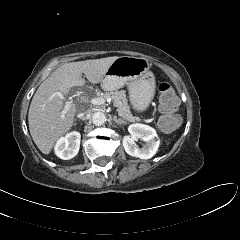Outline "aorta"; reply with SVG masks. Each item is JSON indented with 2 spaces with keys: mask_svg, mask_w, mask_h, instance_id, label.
Segmentation results:
<instances>
[{
  "mask_svg": "<svg viewBox=\"0 0 240 240\" xmlns=\"http://www.w3.org/2000/svg\"><path fill=\"white\" fill-rule=\"evenodd\" d=\"M94 125L101 126L106 122L105 114L102 112H95L92 116Z\"/></svg>",
  "mask_w": 240,
  "mask_h": 240,
  "instance_id": "762f6f07",
  "label": "aorta"
}]
</instances>
